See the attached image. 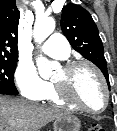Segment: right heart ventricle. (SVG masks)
Here are the masks:
<instances>
[{"instance_id":"1","label":"right heart ventricle","mask_w":117,"mask_h":131,"mask_svg":"<svg viewBox=\"0 0 117 131\" xmlns=\"http://www.w3.org/2000/svg\"><path fill=\"white\" fill-rule=\"evenodd\" d=\"M41 100L58 106H68L67 103L59 98L52 83H49L48 89Z\"/></svg>"}]
</instances>
